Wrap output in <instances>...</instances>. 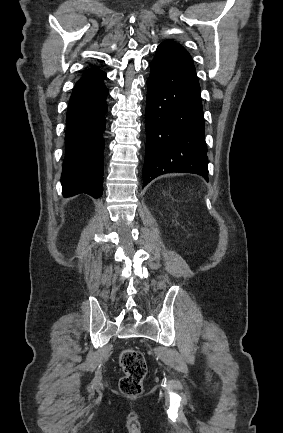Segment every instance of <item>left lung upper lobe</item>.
Segmentation results:
<instances>
[{
  "instance_id": "5c2ea615",
  "label": "left lung upper lobe",
  "mask_w": 283,
  "mask_h": 433,
  "mask_svg": "<svg viewBox=\"0 0 283 433\" xmlns=\"http://www.w3.org/2000/svg\"><path fill=\"white\" fill-rule=\"evenodd\" d=\"M163 43H174V42H172V41H170V40H166V41H164Z\"/></svg>"
}]
</instances>
